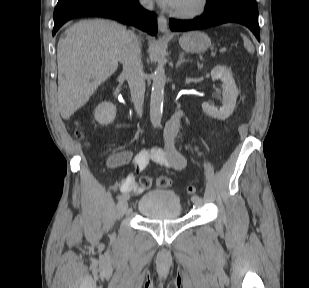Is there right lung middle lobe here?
<instances>
[{"mask_svg":"<svg viewBox=\"0 0 309 288\" xmlns=\"http://www.w3.org/2000/svg\"><path fill=\"white\" fill-rule=\"evenodd\" d=\"M76 0H58L57 6L55 10L63 9L64 7L70 5L71 3L75 2Z\"/></svg>","mask_w":309,"mask_h":288,"instance_id":"obj_1","label":"right lung middle lobe"}]
</instances>
